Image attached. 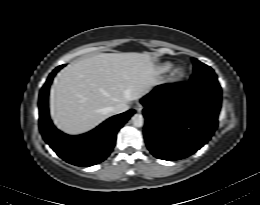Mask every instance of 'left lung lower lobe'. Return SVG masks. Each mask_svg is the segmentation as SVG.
Listing matches in <instances>:
<instances>
[{
    "label": "left lung lower lobe",
    "mask_w": 260,
    "mask_h": 205,
    "mask_svg": "<svg viewBox=\"0 0 260 205\" xmlns=\"http://www.w3.org/2000/svg\"><path fill=\"white\" fill-rule=\"evenodd\" d=\"M141 102L148 149L159 159L179 160L195 153L213 135L221 88L190 82L160 85Z\"/></svg>",
    "instance_id": "obj_1"
}]
</instances>
